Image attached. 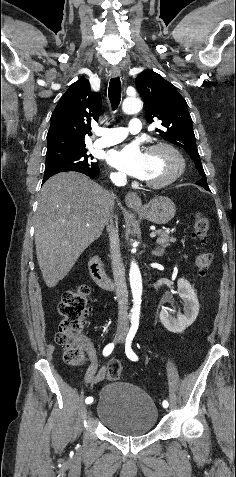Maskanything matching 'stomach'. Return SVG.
I'll list each match as a JSON object with an SVG mask.
<instances>
[{
    "instance_id": "obj_1",
    "label": "stomach",
    "mask_w": 236,
    "mask_h": 477,
    "mask_svg": "<svg viewBox=\"0 0 236 477\" xmlns=\"http://www.w3.org/2000/svg\"><path fill=\"white\" fill-rule=\"evenodd\" d=\"M133 209L148 221L159 225L168 223L176 212L173 201L165 196H157L142 208Z\"/></svg>"
}]
</instances>
